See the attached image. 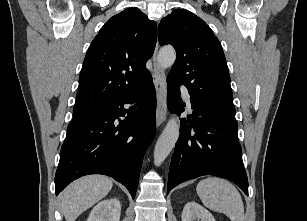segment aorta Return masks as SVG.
<instances>
[{
	"instance_id": "762f6f07",
	"label": "aorta",
	"mask_w": 307,
	"mask_h": 221,
	"mask_svg": "<svg viewBox=\"0 0 307 221\" xmlns=\"http://www.w3.org/2000/svg\"><path fill=\"white\" fill-rule=\"evenodd\" d=\"M176 59L175 49L171 46L163 47L158 54V63L162 68L171 67ZM180 125L175 118H171L159 136L154 149V163L159 166L170 154L179 138Z\"/></svg>"
}]
</instances>
